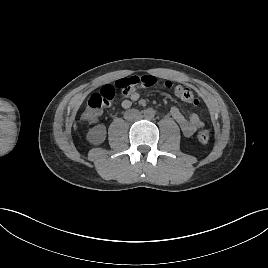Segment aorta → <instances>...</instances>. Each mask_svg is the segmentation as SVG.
<instances>
[{"instance_id":"1","label":"aorta","mask_w":268,"mask_h":268,"mask_svg":"<svg viewBox=\"0 0 268 268\" xmlns=\"http://www.w3.org/2000/svg\"><path fill=\"white\" fill-rule=\"evenodd\" d=\"M143 113L146 119H152L155 116V111L152 108L145 109Z\"/></svg>"}]
</instances>
